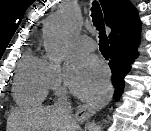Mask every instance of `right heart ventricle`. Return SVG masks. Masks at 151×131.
I'll list each match as a JSON object with an SVG mask.
<instances>
[{"mask_svg":"<svg viewBox=\"0 0 151 131\" xmlns=\"http://www.w3.org/2000/svg\"><path fill=\"white\" fill-rule=\"evenodd\" d=\"M48 89L47 62L32 52L25 53L13 85L15 101L22 106L40 105Z\"/></svg>","mask_w":151,"mask_h":131,"instance_id":"1","label":"right heart ventricle"}]
</instances>
